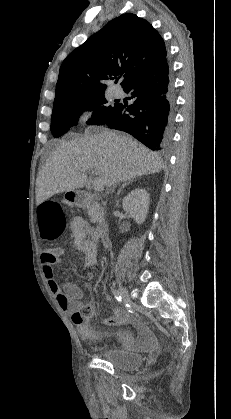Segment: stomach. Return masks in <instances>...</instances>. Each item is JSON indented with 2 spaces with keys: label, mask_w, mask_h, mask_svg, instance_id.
<instances>
[{
  "label": "stomach",
  "mask_w": 231,
  "mask_h": 419,
  "mask_svg": "<svg viewBox=\"0 0 231 419\" xmlns=\"http://www.w3.org/2000/svg\"><path fill=\"white\" fill-rule=\"evenodd\" d=\"M64 199H65L66 203H68L70 205H79L80 204L79 194H78L77 191L66 192L64 194Z\"/></svg>",
  "instance_id": "obj_1"
}]
</instances>
